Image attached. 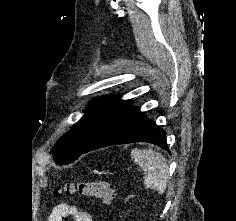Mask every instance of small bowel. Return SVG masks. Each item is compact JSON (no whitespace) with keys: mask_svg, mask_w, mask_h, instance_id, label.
<instances>
[{"mask_svg":"<svg viewBox=\"0 0 236 221\" xmlns=\"http://www.w3.org/2000/svg\"><path fill=\"white\" fill-rule=\"evenodd\" d=\"M65 217H71L73 221H95L88 211L67 203H60L55 206L48 217V221H63Z\"/></svg>","mask_w":236,"mask_h":221,"instance_id":"c3829d8e","label":"small bowel"}]
</instances>
